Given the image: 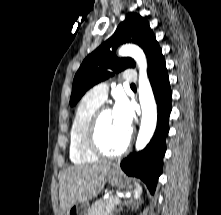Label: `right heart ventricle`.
Instances as JSON below:
<instances>
[{
	"mask_svg": "<svg viewBox=\"0 0 221 215\" xmlns=\"http://www.w3.org/2000/svg\"><path fill=\"white\" fill-rule=\"evenodd\" d=\"M101 104L102 102L86 94L75 110L69 135V158L74 164H89L98 159L87 146L86 133Z\"/></svg>",
	"mask_w": 221,
	"mask_h": 215,
	"instance_id": "right-heart-ventricle-1",
	"label": "right heart ventricle"
}]
</instances>
